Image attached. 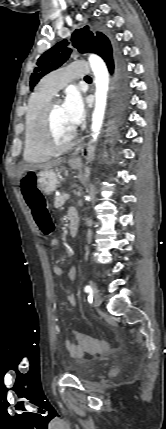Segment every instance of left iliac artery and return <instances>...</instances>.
I'll list each match as a JSON object with an SVG mask.
<instances>
[{
  "label": "left iliac artery",
  "mask_w": 166,
  "mask_h": 429,
  "mask_svg": "<svg viewBox=\"0 0 166 429\" xmlns=\"http://www.w3.org/2000/svg\"><path fill=\"white\" fill-rule=\"evenodd\" d=\"M84 291H85L86 293H93V288H92L90 285H87V286L84 288Z\"/></svg>",
  "instance_id": "1"
}]
</instances>
